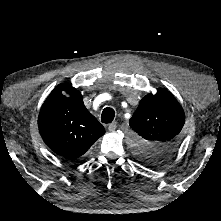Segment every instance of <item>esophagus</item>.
<instances>
[{
  "label": "esophagus",
  "mask_w": 221,
  "mask_h": 221,
  "mask_svg": "<svg viewBox=\"0 0 221 221\" xmlns=\"http://www.w3.org/2000/svg\"><path fill=\"white\" fill-rule=\"evenodd\" d=\"M116 128H117V122H116V121L112 122V123L109 124V126H108V130H109L110 132L115 131Z\"/></svg>",
  "instance_id": "1"
}]
</instances>
